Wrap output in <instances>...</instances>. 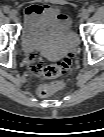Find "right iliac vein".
Here are the masks:
<instances>
[{
  "instance_id": "1",
  "label": "right iliac vein",
  "mask_w": 104,
  "mask_h": 137,
  "mask_svg": "<svg viewBox=\"0 0 104 137\" xmlns=\"http://www.w3.org/2000/svg\"><path fill=\"white\" fill-rule=\"evenodd\" d=\"M8 15L12 20L17 18V12L15 10H11Z\"/></svg>"
}]
</instances>
